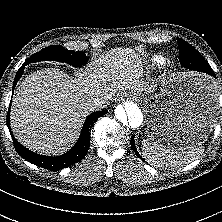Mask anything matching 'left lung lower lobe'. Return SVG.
<instances>
[{
  "label": "left lung lower lobe",
  "instance_id": "left-lung-lower-lobe-1",
  "mask_svg": "<svg viewBox=\"0 0 222 222\" xmlns=\"http://www.w3.org/2000/svg\"><path fill=\"white\" fill-rule=\"evenodd\" d=\"M183 67H184V68H187V69H190V70H195V71L202 72V71H201V67L196 66L195 64H193V63H191V62H188V61H185V62L183 63ZM204 73H207V74L215 77L214 71H206V72H204ZM131 146H132V149H133V151L135 152V154H136L138 157L142 158V157L139 155V153H138V151H137V149H136V147H135L134 136H132V138H131Z\"/></svg>",
  "mask_w": 222,
  "mask_h": 222
}]
</instances>
